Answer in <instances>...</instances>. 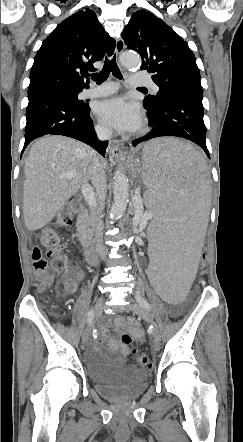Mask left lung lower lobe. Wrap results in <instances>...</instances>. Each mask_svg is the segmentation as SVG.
<instances>
[{"label": "left lung lower lobe", "mask_w": 243, "mask_h": 442, "mask_svg": "<svg viewBox=\"0 0 243 442\" xmlns=\"http://www.w3.org/2000/svg\"><path fill=\"white\" fill-rule=\"evenodd\" d=\"M202 86L180 85L169 90L159 109L148 110L152 131L132 142L133 146L161 136H177L199 145L209 156L203 121ZM146 109V108H145Z\"/></svg>", "instance_id": "left-lung-lower-lobe-1"}]
</instances>
